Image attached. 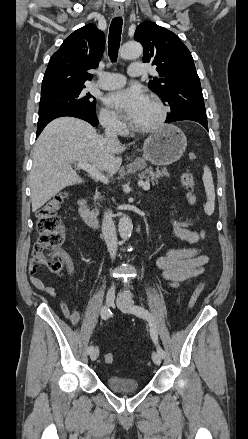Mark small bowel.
<instances>
[{
    "label": "small bowel",
    "instance_id": "small-bowel-1",
    "mask_svg": "<svg viewBox=\"0 0 248 439\" xmlns=\"http://www.w3.org/2000/svg\"><path fill=\"white\" fill-rule=\"evenodd\" d=\"M189 203L194 204L196 197L188 193L186 195ZM194 222H174L173 234L176 238L195 244L205 238V231H195L192 229ZM67 272L71 278L69 288L74 289V268L71 259L64 255ZM209 258L198 248H172L165 252L164 255L156 259V266L161 270L162 277L171 288H176L182 284L193 281L196 277L204 272L205 265ZM39 265L32 259L29 264L30 281L35 288L55 298L56 291L51 286H46L43 280L37 275ZM60 308L63 315L72 323L77 324L80 320V314L73 303H68L60 299Z\"/></svg>",
    "mask_w": 248,
    "mask_h": 439
}]
</instances>
